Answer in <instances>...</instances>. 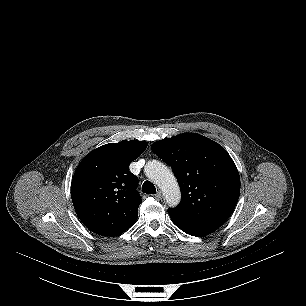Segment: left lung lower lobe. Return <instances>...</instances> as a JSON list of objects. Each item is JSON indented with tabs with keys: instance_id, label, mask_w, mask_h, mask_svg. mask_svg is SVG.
Masks as SVG:
<instances>
[{
	"instance_id": "obj_1",
	"label": "left lung lower lobe",
	"mask_w": 306,
	"mask_h": 306,
	"mask_svg": "<svg viewBox=\"0 0 306 306\" xmlns=\"http://www.w3.org/2000/svg\"><path fill=\"white\" fill-rule=\"evenodd\" d=\"M172 222L185 233L192 236H205L213 233L218 227L196 225L185 220H182L169 212Z\"/></svg>"
}]
</instances>
